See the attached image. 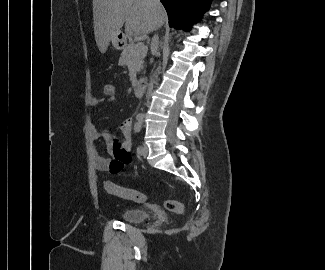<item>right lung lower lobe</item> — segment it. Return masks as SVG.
Wrapping results in <instances>:
<instances>
[{
    "label": "right lung lower lobe",
    "mask_w": 325,
    "mask_h": 270,
    "mask_svg": "<svg viewBox=\"0 0 325 270\" xmlns=\"http://www.w3.org/2000/svg\"><path fill=\"white\" fill-rule=\"evenodd\" d=\"M165 7L169 25L188 30L209 8L212 0H160Z\"/></svg>",
    "instance_id": "obj_1"
}]
</instances>
